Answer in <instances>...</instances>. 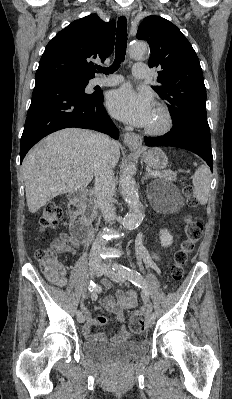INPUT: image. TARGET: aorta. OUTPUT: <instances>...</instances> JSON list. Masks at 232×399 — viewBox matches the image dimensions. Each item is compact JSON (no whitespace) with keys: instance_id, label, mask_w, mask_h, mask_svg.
Returning a JSON list of instances; mask_svg holds the SVG:
<instances>
[{"instance_id":"1","label":"aorta","mask_w":232,"mask_h":399,"mask_svg":"<svg viewBox=\"0 0 232 399\" xmlns=\"http://www.w3.org/2000/svg\"><path fill=\"white\" fill-rule=\"evenodd\" d=\"M147 49L148 45L145 42H134L129 48V54L133 58L140 59ZM133 171L134 166L129 164L121 175V193L129 208V212L123 219V226L129 230L137 228L144 216Z\"/></svg>"}]
</instances>
